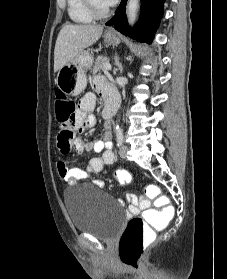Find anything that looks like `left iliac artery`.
<instances>
[{"mask_svg":"<svg viewBox=\"0 0 227 279\" xmlns=\"http://www.w3.org/2000/svg\"><path fill=\"white\" fill-rule=\"evenodd\" d=\"M116 139H117V145L121 146L123 144V140H124L122 129L116 130Z\"/></svg>","mask_w":227,"mask_h":279,"instance_id":"1","label":"left iliac artery"}]
</instances>
